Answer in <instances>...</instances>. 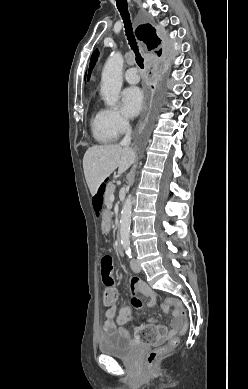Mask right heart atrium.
<instances>
[{
	"instance_id": "1",
	"label": "right heart atrium",
	"mask_w": 248,
	"mask_h": 389,
	"mask_svg": "<svg viewBox=\"0 0 248 389\" xmlns=\"http://www.w3.org/2000/svg\"><path fill=\"white\" fill-rule=\"evenodd\" d=\"M109 126L117 136L124 133L130 126L129 118L119 109L106 110Z\"/></svg>"
}]
</instances>
